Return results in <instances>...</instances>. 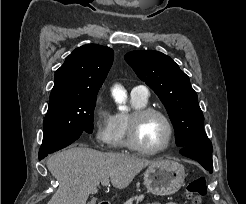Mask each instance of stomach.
<instances>
[{
  "label": "stomach",
  "instance_id": "1",
  "mask_svg": "<svg viewBox=\"0 0 246 204\" xmlns=\"http://www.w3.org/2000/svg\"><path fill=\"white\" fill-rule=\"evenodd\" d=\"M184 166L173 160H159L151 164L144 173V185L155 195H172L184 183Z\"/></svg>",
  "mask_w": 246,
  "mask_h": 204
}]
</instances>
